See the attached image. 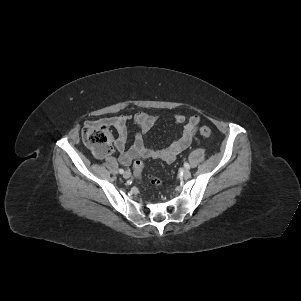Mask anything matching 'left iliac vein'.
I'll list each match as a JSON object with an SVG mask.
<instances>
[{
	"instance_id": "obj_1",
	"label": "left iliac vein",
	"mask_w": 301,
	"mask_h": 301,
	"mask_svg": "<svg viewBox=\"0 0 301 301\" xmlns=\"http://www.w3.org/2000/svg\"><path fill=\"white\" fill-rule=\"evenodd\" d=\"M183 177L185 179H189L191 177V172L189 170H184L183 171Z\"/></svg>"
}]
</instances>
